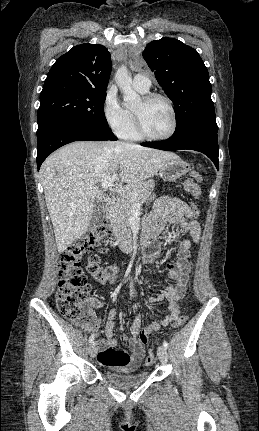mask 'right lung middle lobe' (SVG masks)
<instances>
[{
	"label": "right lung middle lobe",
	"instance_id": "1",
	"mask_svg": "<svg viewBox=\"0 0 259 431\" xmlns=\"http://www.w3.org/2000/svg\"><path fill=\"white\" fill-rule=\"evenodd\" d=\"M106 91L55 86L42 92L38 109V128L57 119H75L108 126L103 105Z\"/></svg>",
	"mask_w": 259,
	"mask_h": 431
}]
</instances>
